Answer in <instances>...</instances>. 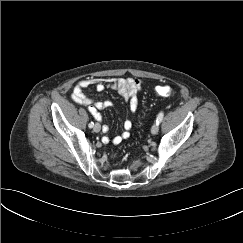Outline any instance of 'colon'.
<instances>
[{
  "instance_id": "1",
  "label": "colon",
  "mask_w": 243,
  "mask_h": 243,
  "mask_svg": "<svg viewBox=\"0 0 243 243\" xmlns=\"http://www.w3.org/2000/svg\"><path fill=\"white\" fill-rule=\"evenodd\" d=\"M155 92L160 95V96H164V97H169L172 96L174 94L173 89L170 86L167 85H159L155 88Z\"/></svg>"
}]
</instances>
